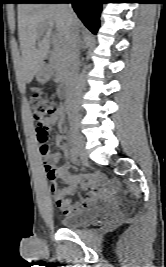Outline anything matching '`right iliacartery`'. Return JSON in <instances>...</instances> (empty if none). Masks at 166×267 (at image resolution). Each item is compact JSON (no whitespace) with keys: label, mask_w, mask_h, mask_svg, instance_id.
Returning a JSON list of instances; mask_svg holds the SVG:
<instances>
[{"label":"right iliac artery","mask_w":166,"mask_h":267,"mask_svg":"<svg viewBox=\"0 0 166 267\" xmlns=\"http://www.w3.org/2000/svg\"><path fill=\"white\" fill-rule=\"evenodd\" d=\"M70 158L73 163L78 162V152L74 146V144H71V149H70Z\"/></svg>","instance_id":"right-iliac-artery-1"}]
</instances>
